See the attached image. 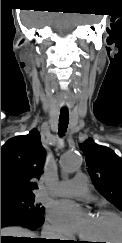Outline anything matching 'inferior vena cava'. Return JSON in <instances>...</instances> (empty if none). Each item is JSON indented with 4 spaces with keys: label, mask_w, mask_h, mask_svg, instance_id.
Here are the masks:
<instances>
[{
    "label": "inferior vena cava",
    "mask_w": 122,
    "mask_h": 243,
    "mask_svg": "<svg viewBox=\"0 0 122 243\" xmlns=\"http://www.w3.org/2000/svg\"><path fill=\"white\" fill-rule=\"evenodd\" d=\"M41 237L44 239H58L57 233L47 226L42 229Z\"/></svg>",
    "instance_id": "inferior-vena-cava-1"
}]
</instances>
